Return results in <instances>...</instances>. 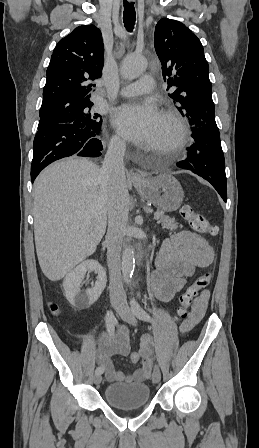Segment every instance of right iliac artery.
I'll return each instance as SVG.
<instances>
[{
    "instance_id": "82829eb1",
    "label": "right iliac artery",
    "mask_w": 259,
    "mask_h": 448,
    "mask_svg": "<svg viewBox=\"0 0 259 448\" xmlns=\"http://www.w3.org/2000/svg\"><path fill=\"white\" fill-rule=\"evenodd\" d=\"M105 320H106L107 332L110 336H113L115 331L116 318L111 310L107 311ZM103 372L104 367L100 366L96 368L95 374H102Z\"/></svg>"
}]
</instances>
